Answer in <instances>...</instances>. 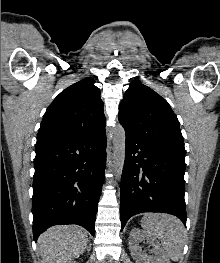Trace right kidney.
Returning a JSON list of instances; mask_svg holds the SVG:
<instances>
[{
    "mask_svg": "<svg viewBox=\"0 0 220 263\" xmlns=\"http://www.w3.org/2000/svg\"><path fill=\"white\" fill-rule=\"evenodd\" d=\"M70 263H77L76 261H72V262H70Z\"/></svg>",
    "mask_w": 220,
    "mask_h": 263,
    "instance_id": "ca27d5eb",
    "label": "right kidney"
}]
</instances>
